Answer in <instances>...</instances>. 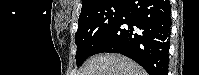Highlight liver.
Listing matches in <instances>:
<instances>
[{"label": "liver", "instance_id": "1", "mask_svg": "<svg viewBox=\"0 0 199 75\" xmlns=\"http://www.w3.org/2000/svg\"><path fill=\"white\" fill-rule=\"evenodd\" d=\"M78 75H147V73L125 56L98 54L85 62Z\"/></svg>", "mask_w": 199, "mask_h": 75}]
</instances>
